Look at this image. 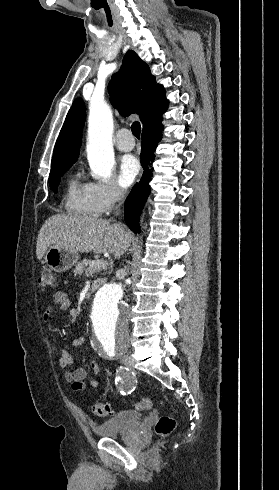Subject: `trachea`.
Listing matches in <instances>:
<instances>
[{"instance_id": "3493384b", "label": "trachea", "mask_w": 279, "mask_h": 490, "mask_svg": "<svg viewBox=\"0 0 279 490\" xmlns=\"http://www.w3.org/2000/svg\"><path fill=\"white\" fill-rule=\"evenodd\" d=\"M131 130H132L133 135L136 138H140V123L139 122H134L131 125Z\"/></svg>"}]
</instances>
